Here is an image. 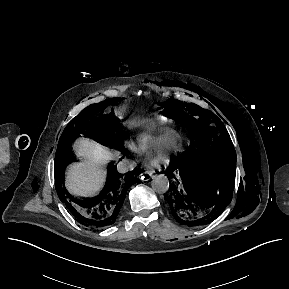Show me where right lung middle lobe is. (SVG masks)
I'll return each mask as SVG.
<instances>
[{"label": "right lung middle lobe", "instance_id": "1", "mask_svg": "<svg viewBox=\"0 0 289 289\" xmlns=\"http://www.w3.org/2000/svg\"><path fill=\"white\" fill-rule=\"evenodd\" d=\"M122 98H112L98 104H93L83 109L74 117L64 129L57 147L55 156V173H63V169L68 165L65 159L66 154L71 150L72 141L80 135L92 138L97 142L106 145L110 143L114 135V116L112 113L101 114L109 105H114Z\"/></svg>", "mask_w": 289, "mask_h": 289}]
</instances>
